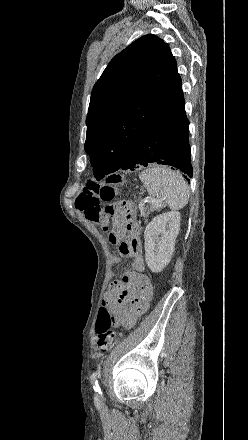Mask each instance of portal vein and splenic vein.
<instances>
[{
	"instance_id": "1",
	"label": "portal vein and splenic vein",
	"mask_w": 248,
	"mask_h": 440,
	"mask_svg": "<svg viewBox=\"0 0 248 440\" xmlns=\"http://www.w3.org/2000/svg\"><path fill=\"white\" fill-rule=\"evenodd\" d=\"M149 201L152 203V205L153 206H155V207H159L161 204L159 203V202H156L155 200H153V199H149Z\"/></svg>"
}]
</instances>
